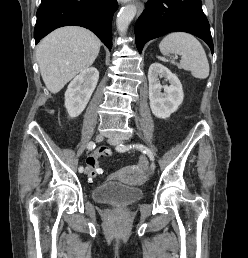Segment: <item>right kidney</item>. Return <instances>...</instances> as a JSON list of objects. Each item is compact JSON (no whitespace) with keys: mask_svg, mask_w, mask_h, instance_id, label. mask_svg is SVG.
I'll use <instances>...</instances> for the list:
<instances>
[{"mask_svg":"<svg viewBox=\"0 0 248 258\" xmlns=\"http://www.w3.org/2000/svg\"><path fill=\"white\" fill-rule=\"evenodd\" d=\"M98 79V70L90 67L83 70L70 82L65 92V108L70 117H77L83 112L95 90Z\"/></svg>","mask_w":248,"mask_h":258,"instance_id":"obj_1","label":"right kidney"}]
</instances>
